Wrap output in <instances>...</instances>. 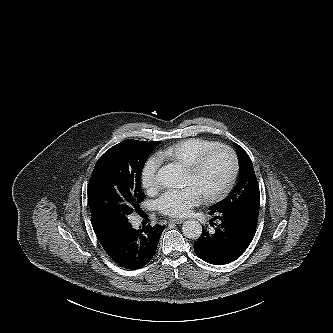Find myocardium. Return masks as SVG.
Listing matches in <instances>:
<instances>
[{
    "label": "myocardium",
    "instance_id": "obj_1",
    "mask_svg": "<svg viewBox=\"0 0 333 333\" xmlns=\"http://www.w3.org/2000/svg\"><path fill=\"white\" fill-rule=\"evenodd\" d=\"M219 150H226L232 155L233 170L229 179L221 189L204 197V200L207 203H213L223 199L233 189L240 172V160L236 150L230 145L224 143H218L201 152L193 159V161H191L188 165L185 166V171H187L190 174H196L203 168L204 164L209 159V157Z\"/></svg>",
    "mask_w": 333,
    "mask_h": 333
}]
</instances>
